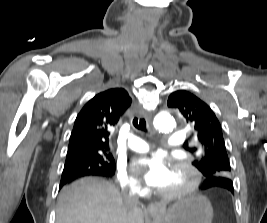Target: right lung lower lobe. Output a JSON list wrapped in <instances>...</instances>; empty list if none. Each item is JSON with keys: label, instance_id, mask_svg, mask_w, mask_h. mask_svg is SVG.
Segmentation results:
<instances>
[{"label": "right lung lower lobe", "instance_id": "right-lung-lower-lobe-1", "mask_svg": "<svg viewBox=\"0 0 267 223\" xmlns=\"http://www.w3.org/2000/svg\"><path fill=\"white\" fill-rule=\"evenodd\" d=\"M89 175L107 177V176L102 175V174H86V173H81L78 171H72V172H64L63 171L62 177H61V182H60V188L68 182H71L77 178H80L83 176H89Z\"/></svg>", "mask_w": 267, "mask_h": 223}]
</instances>
